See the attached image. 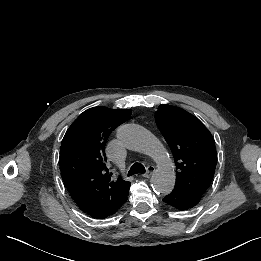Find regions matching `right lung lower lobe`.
Listing matches in <instances>:
<instances>
[{
	"label": "right lung lower lobe",
	"instance_id": "right-lung-lower-lobe-1",
	"mask_svg": "<svg viewBox=\"0 0 261 261\" xmlns=\"http://www.w3.org/2000/svg\"><path fill=\"white\" fill-rule=\"evenodd\" d=\"M126 200H127V199H126ZM126 200H125V201H126ZM123 204H124V203H123ZM123 204H122V205H123ZM122 205H121V206H122ZM121 206H120V207H121ZM120 207H119V208H120ZM119 208H118V209H119ZM118 209H116V210H115V211H113L112 213H110V214L106 215L105 217H103V218H99V219H104V218L108 217L109 215H112V214H114V213H115V212H116Z\"/></svg>",
	"mask_w": 261,
	"mask_h": 261
}]
</instances>
